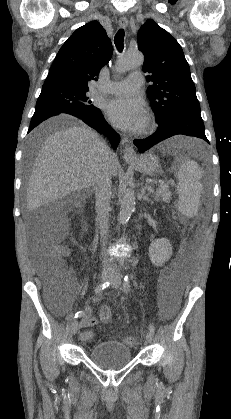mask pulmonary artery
<instances>
[{"mask_svg": "<svg viewBox=\"0 0 231 419\" xmlns=\"http://www.w3.org/2000/svg\"><path fill=\"white\" fill-rule=\"evenodd\" d=\"M143 83V75L140 72H134L122 81L111 82L103 91L114 95L126 94L140 90Z\"/></svg>", "mask_w": 231, "mask_h": 419, "instance_id": "pulmonary-artery-1", "label": "pulmonary artery"}]
</instances>
